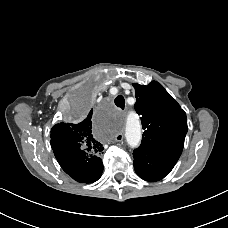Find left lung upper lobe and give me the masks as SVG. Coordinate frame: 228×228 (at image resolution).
<instances>
[{"label": "left lung upper lobe", "instance_id": "left-lung-upper-lobe-1", "mask_svg": "<svg viewBox=\"0 0 228 228\" xmlns=\"http://www.w3.org/2000/svg\"><path fill=\"white\" fill-rule=\"evenodd\" d=\"M133 87L135 109L145 130L140 148L181 155L188 131L186 113L156 81L147 86L134 83Z\"/></svg>", "mask_w": 228, "mask_h": 228}]
</instances>
